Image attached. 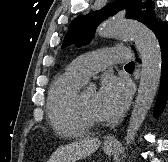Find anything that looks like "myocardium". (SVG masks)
I'll list each match as a JSON object with an SVG mask.
<instances>
[{"label":"myocardium","mask_w":168,"mask_h":162,"mask_svg":"<svg viewBox=\"0 0 168 162\" xmlns=\"http://www.w3.org/2000/svg\"><path fill=\"white\" fill-rule=\"evenodd\" d=\"M74 109H75L77 118L87 128L99 127L103 125V122L93 119L86 112V109L83 103V91L77 93L75 102H74Z\"/></svg>","instance_id":"f54148a6"}]
</instances>
